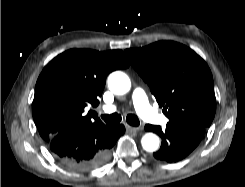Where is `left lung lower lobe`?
<instances>
[{"instance_id": "0a47b994", "label": "left lung lower lobe", "mask_w": 245, "mask_h": 187, "mask_svg": "<svg viewBox=\"0 0 245 187\" xmlns=\"http://www.w3.org/2000/svg\"><path fill=\"white\" fill-rule=\"evenodd\" d=\"M146 131L157 133L162 144L153 156L162 161L178 162L188 156L200 143L205 128L201 127H174L166 125L165 129L160 126L147 124Z\"/></svg>"}]
</instances>
